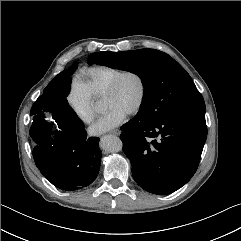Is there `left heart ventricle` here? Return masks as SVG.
<instances>
[{
    "mask_svg": "<svg viewBox=\"0 0 241 241\" xmlns=\"http://www.w3.org/2000/svg\"><path fill=\"white\" fill-rule=\"evenodd\" d=\"M140 94V84L134 75L125 76L115 93L103 98L104 109L116 107L126 114L135 106Z\"/></svg>",
    "mask_w": 241,
    "mask_h": 241,
    "instance_id": "obj_1",
    "label": "left heart ventricle"
}]
</instances>
